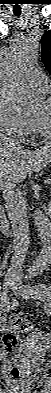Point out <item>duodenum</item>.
<instances>
[{"mask_svg":"<svg viewBox=\"0 0 51 393\" xmlns=\"http://www.w3.org/2000/svg\"><path fill=\"white\" fill-rule=\"evenodd\" d=\"M0 222H1V228L4 233H9L10 232V225L7 220V216L3 210L0 211Z\"/></svg>","mask_w":51,"mask_h":393,"instance_id":"obj_1","label":"duodenum"}]
</instances>
